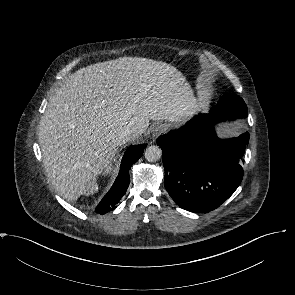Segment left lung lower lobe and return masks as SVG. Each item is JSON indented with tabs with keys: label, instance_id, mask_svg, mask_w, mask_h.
<instances>
[{
	"label": "left lung lower lobe",
	"instance_id": "0a47b994",
	"mask_svg": "<svg viewBox=\"0 0 295 295\" xmlns=\"http://www.w3.org/2000/svg\"><path fill=\"white\" fill-rule=\"evenodd\" d=\"M237 118L242 117L213 106L209 114H199L184 127L157 138L162 148L165 188L181 208L207 213L238 188L249 133L221 140L213 127L217 122Z\"/></svg>",
	"mask_w": 295,
	"mask_h": 295
}]
</instances>
